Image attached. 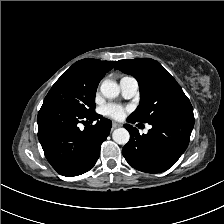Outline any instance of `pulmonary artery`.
<instances>
[{"label":"pulmonary artery","instance_id":"obj_1","mask_svg":"<svg viewBox=\"0 0 224 224\" xmlns=\"http://www.w3.org/2000/svg\"><path fill=\"white\" fill-rule=\"evenodd\" d=\"M120 90L124 98L130 99L137 94L138 82L133 77H123L120 80Z\"/></svg>","mask_w":224,"mask_h":224}]
</instances>
